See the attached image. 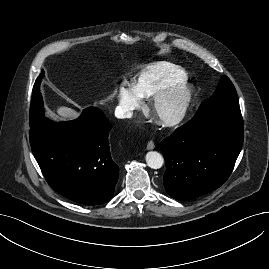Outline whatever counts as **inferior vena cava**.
<instances>
[{
  "instance_id": "inferior-vena-cava-1",
  "label": "inferior vena cava",
  "mask_w": 269,
  "mask_h": 269,
  "mask_svg": "<svg viewBox=\"0 0 269 269\" xmlns=\"http://www.w3.org/2000/svg\"><path fill=\"white\" fill-rule=\"evenodd\" d=\"M115 116L117 118L123 119V118H131L132 116V112L121 109V108H117L115 110Z\"/></svg>"
}]
</instances>
